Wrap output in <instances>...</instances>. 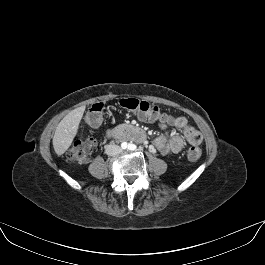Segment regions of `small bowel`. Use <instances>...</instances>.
Segmentation results:
<instances>
[{"instance_id":"1","label":"small bowel","mask_w":265,"mask_h":265,"mask_svg":"<svg viewBox=\"0 0 265 265\" xmlns=\"http://www.w3.org/2000/svg\"><path fill=\"white\" fill-rule=\"evenodd\" d=\"M138 118L141 121L156 123L162 129L174 128L182 132L183 136L176 134L160 135L152 140V147L164 155L180 152L184 148L186 142L192 146H198L202 141L201 134L190 126L187 119L184 117L174 118L166 115L163 118H156L139 114Z\"/></svg>"}]
</instances>
